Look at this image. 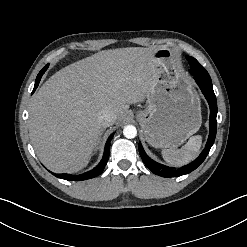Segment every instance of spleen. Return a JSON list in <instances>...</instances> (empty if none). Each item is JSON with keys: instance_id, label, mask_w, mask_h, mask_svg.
<instances>
[{"instance_id": "obj_1", "label": "spleen", "mask_w": 247, "mask_h": 247, "mask_svg": "<svg viewBox=\"0 0 247 247\" xmlns=\"http://www.w3.org/2000/svg\"><path fill=\"white\" fill-rule=\"evenodd\" d=\"M202 137L192 136L181 149H163L164 160L175 166L185 165L194 160L200 152Z\"/></svg>"}]
</instances>
